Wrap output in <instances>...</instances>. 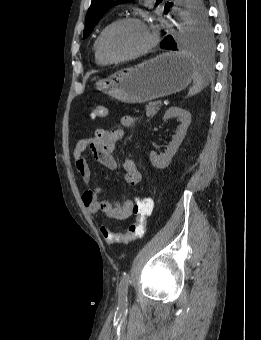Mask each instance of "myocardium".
I'll return each mask as SVG.
<instances>
[{"label": "myocardium", "mask_w": 261, "mask_h": 340, "mask_svg": "<svg viewBox=\"0 0 261 340\" xmlns=\"http://www.w3.org/2000/svg\"><path fill=\"white\" fill-rule=\"evenodd\" d=\"M127 23H136V24H140L142 25L148 32L150 40L148 42V44L142 48L141 50L130 54V55H125V56H114L112 54H110L107 49H106V39L108 37V35L117 27L127 24ZM158 42V36L156 34L155 31H153L149 25L143 21L141 18L136 17V16H126V17H122L119 18L115 21H113L112 23H110L105 30L102 32L100 39H99V50L101 52V54L109 61L111 62H125V61H129V60H133L136 58H139L145 54H147L148 52H150L157 44Z\"/></svg>", "instance_id": "obj_1"}]
</instances>
